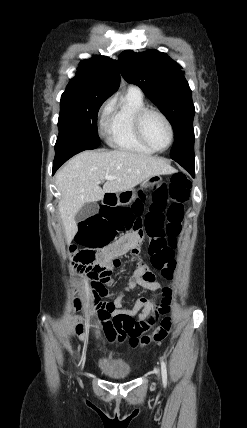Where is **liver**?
<instances>
[{"label":"liver","mask_w":247,"mask_h":428,"mask_svg":"<svg viewBox=\"0 0 247 428\" xmlns=\"http://www.w3.org/2000/svg\"><path fill=\"white\" fill-rule=\"evenodd\" d=\"M176 172L165 160L126 150L84 151L56 174V186L61 193L59 213L67 244L77 233L75 216L85 203L102 200L105 193H119L133 189L151 176ZM106 175L103 189L99 184Z\"/></svg>","instance_id":"liver-1"}]
</instances>
